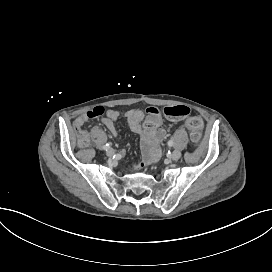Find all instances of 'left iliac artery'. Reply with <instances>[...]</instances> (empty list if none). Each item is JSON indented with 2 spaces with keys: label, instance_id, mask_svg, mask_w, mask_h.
Instances as JSON below:
<instances>
[{
  "label": "left iliac artery",
  "instance_id": "44dca946",
  "mask_svg": "<svg viewBox=\"0 0 272 272\" xmlns=\"http://www.w3.org/2000/svg\"><path fill=\"white\" fill-rule=\"evenodd\" d=\"M168 145H169V146H173V145H174V142H173L172 140H169V141H168Z\"/></svg>",
  "mask_w": 272,
  "mask_h": 272
}]
</instances>
